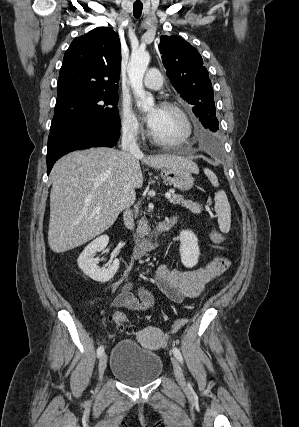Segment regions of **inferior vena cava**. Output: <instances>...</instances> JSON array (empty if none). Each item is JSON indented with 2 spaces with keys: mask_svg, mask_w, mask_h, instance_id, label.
I'll return each mask as SVG.
<instances>
[{
  "mask_svg": "<svg viewBox=\"0 0 299 427\" xmlns=\"http://www.w3.org/2000/svg\"><path fill=\"white\" fill-rule=\"evenodd\" d=\"M121 148L123 151L131 153V154H141V151L139 149V146L137 144V139L135 136V132L132 128H124L122 131V140H121ZM123 220L125 226L133 230L134 228V219H133V213L132 210H130L129 207L125 208V211L123 213Z\"/></svg>",
  "mask_w": 299,
  "mask_h": 427,
  "instance_id": "inferior-vena-cava-1",
  "label": "inferior vena cava"
}]
</instances>
